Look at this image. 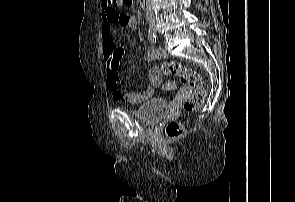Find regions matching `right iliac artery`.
Instances as JSON below:
<instances>
[{"mask_svg":"<svg viewBox=\"0 0 295 202\" xmlns=\"http://www.w3.org/2000/svg\"><path fill=\"white\" fill-rule=\"evenodd\" d=\"M148 39L149 41L152 43V44H155L156 43V40H157V37L155 35L154 32H152L150 29L148 31Z\"/></svg>","mask_w":295,"mask_h":202,"instance_id":"right-iliac-artery-1","label":"right iliac artery"}]
</instances>
